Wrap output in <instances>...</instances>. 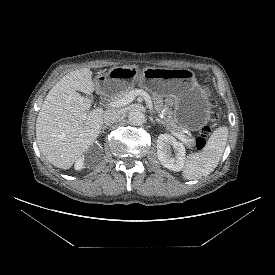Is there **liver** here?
Masks as SVG:
<instances>
[{
  "label": "liver",
  "instance_id": "6515ba94",
  "mask_svg": "<svg viewBox=\"0 0 275 275\" xmlns=\"http://www.w3.org/2000/svg\"><path fill=\"white\" fill-rule=\"evenodd\" d=\"M94 90L92 72L81 68L62 77L42 104L36 121L37 144L58 168L69 169L100 133L104 111L89 112L91 101L79 93L90 95Z\"/></svg>",
  "mask_w": 275,
  "mask_h": 275
}]
</instances>
